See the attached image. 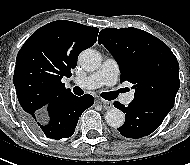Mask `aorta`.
Here are the masks:
<instances>
[{"mask_svg": "<svg viewBox=\"0 0 190 165\" xmlns=\"http://www.w3.org/2000/svg\"><path fill=\"white\" fill-rule=\"evenodd\" d=\"M79 64L87 71H95L101 66V56L94 49L83 50L78 58ZM107 124L113 128H119L124 124L125 115L117 109H109L105 114Z\"/></svg>", "mask_w": 190, "mask_h": 165, "instance_id": "1", "label": "aorta"}]
</instances>
